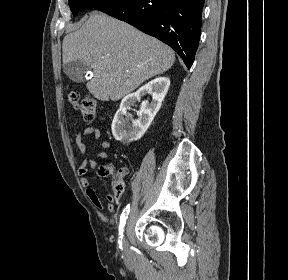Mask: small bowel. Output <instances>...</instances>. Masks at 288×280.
<instances>
[{
    "label": "small bowel",
    "mask_w": 288,
    "mask_h": 280,
    "mask_svg": "<svg viewBox=\"0 0 288 280\" xmlns=\"http://www.w3.org/2000/svg\"><path fill=\"white\" fill-rule=\"evenodd\" d=\"M89 135H93L94 139L99 140V147L102 149L100 152L96 154V157L101 159H107L108 154L105 151L109 148L110 143L108 140L101 139V131L96 127H88L84 131H79L76 134L75 142L82 154L87 152V144L85 138ZM97 162L94 159H85L78 168V175L80 177V183L85 190V193L92 204L98 209H105L108 212H112L114 210V201L119 197V195L108 194L107 200L108 202H103L100 197L97 195L94 188L91 187L90 182L87 178V174L89 172V168H96ZM127 173L126 168H122L120 170V174L122 177Z\"/></svg>",
    "instance_id": "small-bowel-1"
}]
</instances>
